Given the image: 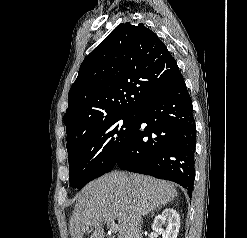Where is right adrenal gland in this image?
Segmentation results:
<instances>
[{
  "mask_svg": "<svg viewBox=\"0 0 247 238\" xmlns=\"http://www.w3.org/2000/svg\"><path fill=\"white\" fill-rule=\"evenodd\" d=\"M153 214H154V211L151 212V215H153Z\"/></svg>",
  "mask_w": 247,
  "mask_h": 238,
  "instance_id": "obj_1",
  "label": "right adrenal gland"
}]
</instances>
